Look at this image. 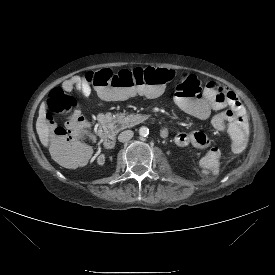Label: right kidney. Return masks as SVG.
Returning a JSON list of instances; mask_svg holds the SVG:
<instances>
[{
	"instance_id": "ca27d5eb",
	"label": "right kidney",
	"mask_w": 275,
	"mask_h": 275,
	"mask_svg": "<svg viewBox=\"0 0 275 275\" xmlns=\"http://www.w3.org/2000/svg\"><path fill=\"white\" fill-rule=\"evenodd\" d=\"M108 159L104 155H100L96 160L95 163L101 168L104 169L107 166Z\"/></svg>"
}]
</instances>
